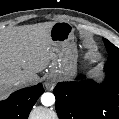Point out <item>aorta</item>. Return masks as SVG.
Listing matches in <instances>:
<instances>
[{
    "mask_svg": "<svg viewBox=\"0 0 119 119\" xmlns=\"http://www.w3.org/2000/svg\"><path fill=\"white\" fill-rule=\"evenodd\" d=\"M41 103L44 106H52L55 103V96L53 93H44L41 96Z\"/></svg>",
    "mask_w": 119,
    "mask_h": 119,
    "instance_id": "obj_1",
    "label": "aorta"
}]
</instances>
